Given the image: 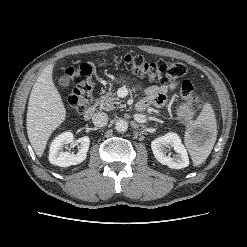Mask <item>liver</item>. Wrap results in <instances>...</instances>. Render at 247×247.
Wrapping results in <instances>:
<instances>
[{
	"mask_svg": "<svg viewBox=\"0 0 247 247\" xmlns=\"http://www.w3.org/2000/svg\"><path fill=\"white\" fill-rule=\"evenodd\" d=\"M54 63L48 65L36 80L28 103L27 134L38 157H42L47 141L66 119V109L53 82Z\"/></svg>",
	"mask_w": 247,
	"mask_h": 247,
	"instance_id": "1",
	"label": "liver"
}]
</instances>
